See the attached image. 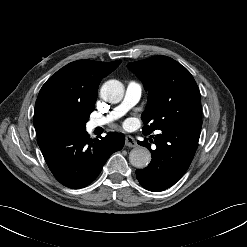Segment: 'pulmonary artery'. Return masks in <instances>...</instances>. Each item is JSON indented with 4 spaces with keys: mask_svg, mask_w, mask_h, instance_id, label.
Here are the masks:
<instances>
[{
    "mask_svg": "<svg viewBox=\"0 0 247 247\" xmlns=\"http://www.w3.org/2000/svg\"><path fill=\"white\" fill-rule=\"evenodd\" d=\"M142 86L140 83L131 81L128 83L125 96L119 106L114 108L108 115L93 118L88 122V129L93 130L105 126L124 115L131 107L136 105L141 98Z\"/></svg>",
    "mask_w": 247,
    "mask_h": 247,
    "instance_id": "1",
    "label": "pulmonary artery"
}]
</instances>
